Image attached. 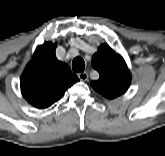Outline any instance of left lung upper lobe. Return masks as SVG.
<instances>
[{"label": "left lung upper lobe", "mask_w": 165, "mask_h": 156, "mask_svg": "<svg viewBox=\"0 0 165 156\" xmlns=\"http://www.w3.org/2000/svg\"><path fill=\"white\" fill-rule=\"evenodd\" d=\"M92 66L100 78L91 86L102 96L114 99L124 94L131 82L130 72L124 59L107 44H102L92 57Z\"/></svg>", "instance_id": "left-lung-upper-lobe-1"}]
</instances>
